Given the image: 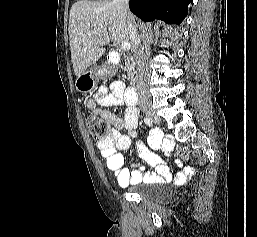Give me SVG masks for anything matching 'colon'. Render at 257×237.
I'll return each mask as SVG.
<instances>
[{"label": "colon", "instance_id": "colon-1", "mask_svg": "<svg viewBox=\"0 0 257 237\" xmlns=\"http://www.w3.org/2000/svg\"><path fill=\"white\" fill-rule=\"evenodd\" d=\"M87 125L90 134L94 139L103 141L108 137L109 125L104 119L96 116H90L87 119Z\"/></svg>", "mask_w": 257, "mask_h": 237}]
</instances>
